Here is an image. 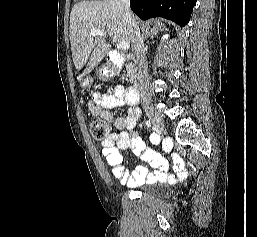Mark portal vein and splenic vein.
<instances>
[{
    "label": "portal vein and splenic vein",
    "mask_w": 257,
    "mask_h": 237,
    "mask_svg": "<svg viewBox=\"0 0 257 237\" xmlns=\"http://www.w3.org/2000/svg\"><path fill=\"white\" fill-rule=\"evenodd\" d=\"M91 36L92 37H95V36H104V37H107V34L106 32H104L103 30H100V29H92L91 30ZM118 47L121 49V50H128L130 48V45L127 43V42H120L118 44Z\"/></svg>",
    "instance_id": "obj_1"
}]
</instances>
